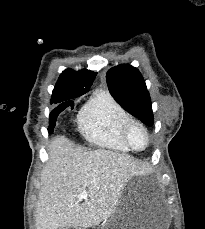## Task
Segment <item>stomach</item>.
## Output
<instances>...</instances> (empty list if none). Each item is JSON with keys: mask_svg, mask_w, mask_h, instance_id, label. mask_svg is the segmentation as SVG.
Masks as SVG:
<instances>
[{"mask_svg": "<svg viewBox=\"0 0 205 229\" xmlns=\"http://www.w3.org/2000/svg\"><path fill=\"white\" fill-rule=\"evenodd\" d=\"M170 223L171 213L159 197L138 194L128 187L101 229H168Z\"/></svg>", "mask_w": 205, "mask_h": 229, "instance_id": "0dacf381", "label": "stomach"}]
</instances>
